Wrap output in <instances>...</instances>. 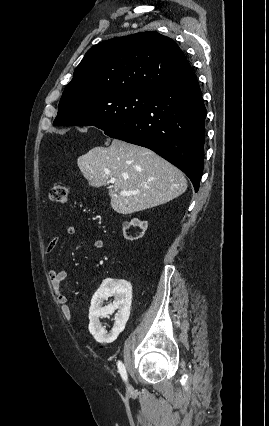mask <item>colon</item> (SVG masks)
<instances>
[{
	"label": "colon",
	"instance_id": "obj_1",
	"mask_svg": "<svg viewBox=\"0 0 269 426\" xmlns=\"http://www.w3.org/2000/svg\"><path fill=\"white\" fill-rule=\"evenodd\" d=\"M50 199L59 204H65L69 200V189L64 182H56L50 189Z\"/></svg>",
	"mask_w": 269,
	"mask_h": 426
}]
</instances>
